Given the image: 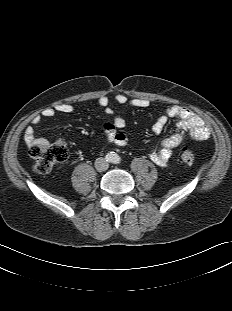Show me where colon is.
I'll return each mask as SVG.
<instances>
[{
    "instance_id": "1",
    "label": "colon",
    "mask_w": 232,
    "mask_h": 311,
    "mask_svg": "<svg viewBox=\"0 0 232 311\" xmlns=\"http://www.w3.org/2000/svg\"><path fill=\"white\" fill-rule=\"evenodd\" d=\"M29 154L34 170L38 173H47L54 165L67 159L68 148L62 141L40 143L31 147ZM180 159L185 165L191 166L195 160L194 153L183 146L180 149Z\"/></svg>"
}]
</instances>
